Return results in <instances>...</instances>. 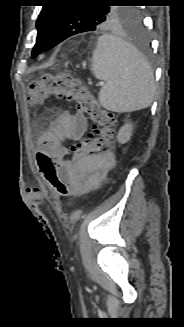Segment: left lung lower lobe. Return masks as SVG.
I'll use <instances>...</instances> for the list:
<instances>
[{
    "label": "left lung lower lobe",
    "instance_id": "0a47b994",
    "mask_svg": "<svg viewBox=\"0 0 184 327\" xmlns=\"http://www.w3.org/2000/svg\"><path fill=\"white\" fill-rule=\"evenodd\" d=\"M78 31H69L64 28L62 22L58 25L55 33L53 34L50 42L48 43L45 51H48L55 47L60 42L64 41L68 37L78 34ZM130 33L133 38V42L136 45V47L143 53L147 54L150 52L151 49V42L148 37V34L146 32V29L144 28L143 24L139 22L134 27L130 28Z\"/></svg>",
    "mask_w": 184,
    "mask_h": 327
}]
</instances>
